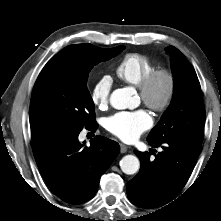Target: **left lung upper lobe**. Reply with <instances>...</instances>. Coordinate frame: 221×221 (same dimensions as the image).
Instances as JSON below:
<instances>
[{"mask_svg":"<svg viewBox=\"0 0 221 221\" xmlns=\"http://www.w3.org/2000/svg\"><path fill=\"white\" fill-rule=\"evenodd\" d=\"M166 50L172 60L173 99L147 141L161 144L179 139L202 144L205 108L199 80L193 66L177 48L169 46Z\"/></svg>","mask_w":221,"mask_h":221,"instance_id":"5c2ea615","label":"left lung upper lobe"}]
</instances>
